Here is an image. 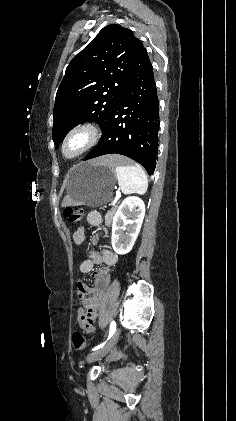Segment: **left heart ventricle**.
Returning <instances> with one entry per match:
<instances>
[{
    "mask_svg": "<svg viewBox=\"0 0 236 421\" xmlns=\"http://www.w3.org/2000/svg\"><path fill=\"white\" fill-rule=\"evenodd\" d=\"M83 139L81 136L73 137L66 145L65 155L67 158L73 157L77 151L81 148Z\"/></svg>",
    "mask_w": 236,
    "mask_h": 421,
    "instance_id": "obj_1",
    "label": "left heart ventricle"
}]
</instances>
